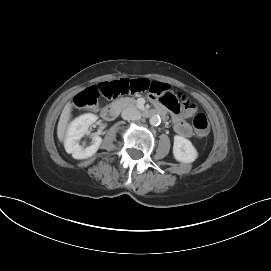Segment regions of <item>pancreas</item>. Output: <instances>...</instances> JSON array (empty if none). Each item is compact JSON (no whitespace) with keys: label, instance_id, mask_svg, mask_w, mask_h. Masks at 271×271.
Masks as SVG:
<instances>
[{"label":"pancreas","instance_id":"cf45deb5","mask_svg":"<svg viewBox=\"0 0 271 271\" xmlns=\"http://www.w3.org/2000/svg\"><path fill=\"white\" fill-rule=\"evenodd\" d=\"M117 104H120L123 108L127 106H134L136 104V100L131 98H121L116 101Z\"/></svg>","mask_w":271,"mask_h":271}]
</instances>
